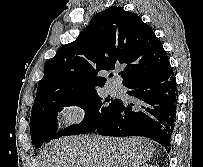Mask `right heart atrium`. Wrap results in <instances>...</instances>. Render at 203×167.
I'll return each instance as SVG.
<instances>
[{"instance_id":"right-heart-atrium-1","label":"right heart atrium","mask_w":203,"mask_h":167,"mask_svg":"<svg viewBox=\"0 0 203 167\" xmlns=\"http://www.w3.org/2000/svg\"><path fill=\"white\" fill-rule=\"evenodd\" d=\"M86 113V107L79 102L69 103L60 110L61 120L66 126L80 123L85 118Z\"/></svg>"}]
</instances>
